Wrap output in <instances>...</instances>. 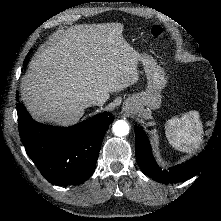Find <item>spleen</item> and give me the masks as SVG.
I'll return each instance as SVG.
<instances>
[{
  "instance_id": "3e777b00",
  "label": "spleen",
  "mask_w": 221,
  "mask_h": 221,
  "mask_svg": "<svg viewBox=\"0 0 221 221\" xmlns=\"http://www.w3.org/2000/svg\"><path fill=\"white\" fill-rule=\"evenodd\" d=\"M169 143L179 151L191 153L199 148L203 138V125L197 111L174 116L165 124Z\"/></svg>"
}]
</instances>
